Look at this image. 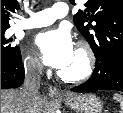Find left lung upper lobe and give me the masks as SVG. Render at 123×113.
<instances>
[{
    "label": "left lung upper lobe",
    "instance_id": "5c2ea615",
    "mask_svg": "<svg viewBox=\"0 0 123 113\" xmlns=\"http://www.w3.org/2000/svg\"><path fill=\"white\" fill-rule=\"evenodd\" d=\"M75 4V0H70ZM74 24L90 44L96 65L106 68L123 55V0H87Z\"/></svg>",
    "mask_w": 123,
    "mask_h": 113
}]
</instances>
